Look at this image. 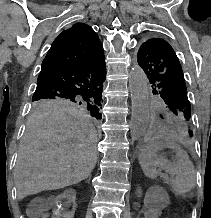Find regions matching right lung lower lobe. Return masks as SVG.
Returning <instances> with one entry per match:
<instances>
[{"label": "right lung lower lobe", "mask_w": 211, "mask_h": 218, "mask_svg": "<svg viewBox=\"0 0 211 218\" xmlns=\"http://www.w3.org/2000/svg\"><path fill=\"white\" fill-rule=\"evenodd\" d=\"M106 79L104 56L49 74L37 81L33 98H102Z\"/></svg>", "instance_id": "right-lung-lower-lobe-1"}]
</instances>
